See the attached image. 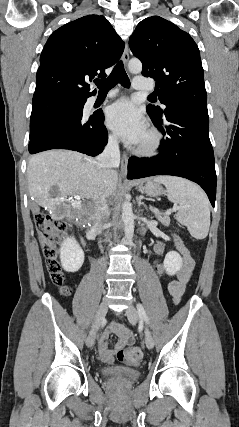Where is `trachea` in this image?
Masks as SVG:
<instances>
[{"label":"trachea","instance_id":"1","mask_svg":"<svg viewBox=\"0 0 239 427\" xmlns=\"http://www.w3.org/2000/svg\"><path fill=\"white\" fill-rule=\"evenodd\" d=\"M117 83H120L124 87H130V81L125 72L122 61L116 64L113 71L106 79L95 81V84L99 88V92H108ZM151 96L152 95H150V97Z\"/></svg>","mask_w":239,"mask_h":427}]
</instances>
